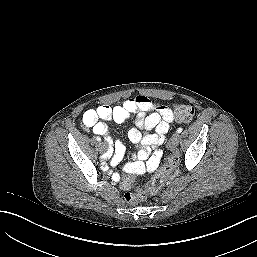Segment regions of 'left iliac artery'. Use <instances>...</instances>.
Wrapping results in <instances>:
<instances>
[{
  "mask_svg": "<svg viewBox=\"0 0 257 257\" xmlns=\"http://www.w3.org/2000/svg\"><path fill=\"white\" fill-rule=\"evenodd\" d=\"M183 131V128L182 127H179L178 129H177V133H181Z\"/></svg>",
  "mask_w": 257,
  "mask_h": 257,
  "instance_id": "1",
  "label": "left iliac artery"
}]
</instances>
